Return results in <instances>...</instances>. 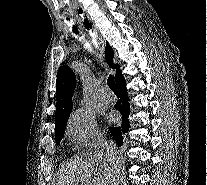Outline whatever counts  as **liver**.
I'll return each mask as SVG.
<instances>
[{"mask_svg":"<svg viewBox=\"0 0 207 185\" xmlns=\"http://www.w3.org/2000/svg\"><path fill=\"white\" fill-rule=\"evenodd\" d=\"M91 157V159H90ZM114 157H116V151L114 149L113 153H110V149L106 151V153H99V155H87L86 159L88 161H94V163H97V165H101V167H104L105 173H103L104 177L102 179H99V183H108V185H113V173L111 171V167L113 165ZM86 159L84 161H81V163H71L70 167L71 169H68L69 173L67 175H70L69 177V185H79V183H87L88 175H84L83 171H86V173H89L86 169L85 163H87ZM90 165V163H89ZM76 169L78 171L77 179H74V175L72 173L73 169ZM97 183V185H99Z\"/></svg>","mask_w":207,"mask_h":185,"instance_id":"obj_1","label":"liver"}]
</instances>
